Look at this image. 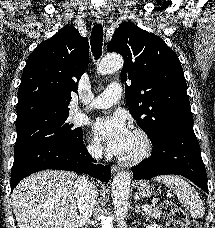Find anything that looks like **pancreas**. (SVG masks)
I'll list each match as a JSON object with an SVG mask.
<instances>
[{
	"instance_id": "pancreas-1",
	"label": "pancreas",
	"mask_w": 215,
	"mask_h": 228,
	"mask_svg": "<svg viewBox=\"0 0 215 228\" xmlns=\"http://www.w3.org/2000/svg\"><path fill=\"white\" fill-rule=\"evenodd\" d=\"M146 216L160 220L162 218V210L161 208H149V210H146Z\"/></svg>"
}]
</instances>
